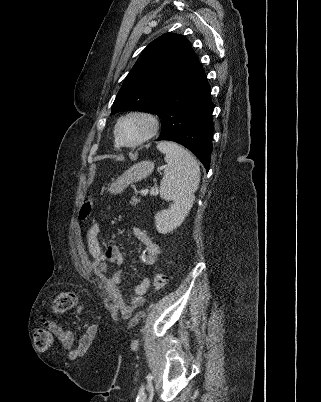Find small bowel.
<instances>
[{
    "label": "small bowel",
    "instance_id": "1",
    "mask_svg": "<svg viewBox=\"0 0 321 402\" xmlns=\"http://www.w3.org/2000/svg\"><path fill=\"white\" fill-rule=\"evenodd\" d=\"M100 225L98 222H93L88 229V238L93 249L92 269L95 275L106 279L108 290L112 301L119 310L124 319L131 317L135 309L140 308L144 304V294L149 286V278L143 276L133 290V296L128 303L122 294L120 283L121 274L114 272L107 276L108 264L114 267H119L124 256L120 247L115 243L100 242L97 238ZM134 235L143 244L144 248L140 253V262L143 266L149 267L155 264L160 255V247L156 244L149 235L140 228H133ZM82 308V305H79ZM43 325L49 328L52 333L59 339L61 345L67 349L70 359L85 358L86 347H90L92 339L97 333V328L91 322H86L83 334L79 336L81 344H74L72 334L69 329L57 324L56 322L43 318Z\"/></svg>",
    "mask_w": 321,
    "mask_h": 402
}]
</instances>
